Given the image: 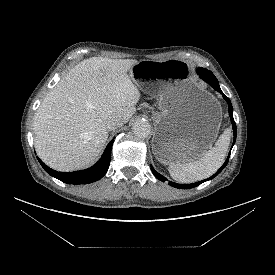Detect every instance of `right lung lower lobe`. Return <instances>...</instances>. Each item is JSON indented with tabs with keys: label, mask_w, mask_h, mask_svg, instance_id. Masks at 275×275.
<instances>
[{
	"label": "right lung lower lobe",
	"mask_w": 275,
	"mask_h": 275,
	"mask_svg": "<svg viewBox=\"0 0 275 275\" xmlns=\"http://www.w3.org/2000/svg\"><path fill=\"white\" fill-rule=\"evenodd\" d=\"M113 140L107 145L100 160L92 167L75 172H58L46 166L38 157L44 170L51 176L67 184H89L101 179L107 172L111 160Z\"/></svg>",
	"instance_id": "obj_1"
}]
</instances>
